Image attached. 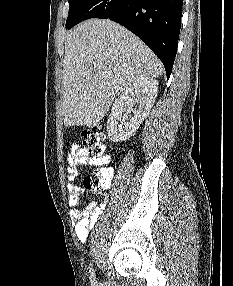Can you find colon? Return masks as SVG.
<instances>
[{
    "instance_id": "1",
    "label": "colon",
    "mask_w": 233,
    "mask_h": 286,
    "mask_svg": "<svg viewBox=\"0 0 233 286\" xmlns=\"http://www.w3.org/2000/svg\"><path fill=\"white\" fill-rule=\"evenodd\" d=\"M83 144L88 154L95 159L105 158V135L99 126L86 128L82 132ZM113 172L109 168H98L84 179L83 186L88 190H103L110 186Z\"/></svg>"
}]
</instances>
